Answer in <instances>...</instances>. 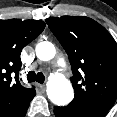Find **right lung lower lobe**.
<instances>
[{"instance_id": "98d812e1", "label": "right lung lower lobe", "mask_w": 117, "mask_h": 117, "mask_svg": "<svg viewBox=\"0 0 117 117\" xmlns=\"http://www.w3.org/2000/svg\"><path fill=\"white\" fill-rule=\"evenodd\" d=\"M30 101H28L24 106H22L12 117H25Z\"/></svg>"}]
</instances>
